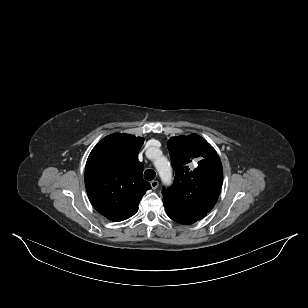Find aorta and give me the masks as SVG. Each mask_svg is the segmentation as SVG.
I'll return each instance as SVG.
<instances>
[{
	"instance_id": "1",
	"label": "aorta",
	"mask_w": 308,
	"mask_h": 308,
	"mask_svg": "<svg viewBox=\"0 0 308 308\" xmlns=\"http://www.w3.org/2000/svg\"><path fill=\"white\" fill-rule=\"evenodd\" d=\"M155 167L157 171L159 172V175L162 179V181L165 184H169L172 179V171L170 167V163L165 157H158L155 160Z\"/></svg>"
}]
</instances>
